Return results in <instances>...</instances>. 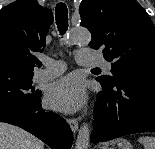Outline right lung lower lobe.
<instances>
[{
  "mask_svg": "<svg viewBox=\"0 0 155 149\" xmlns=\"http://www.w3.org/2000/svg\"><path fill=\"white\" fill-rule=\"evenodd\" d=\"M0 122L23 128L52 149H70L73 143V134L68 123L53 112L43 111L41 98L26 107L0 105Z\"/></svg>",
  "mask_w": 155,
  "mask_h": 149,
  "instance_id": "right-lung-lower-lobe-1",
  "label": "right lung lower lobe"
}]
</instances>
